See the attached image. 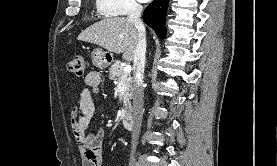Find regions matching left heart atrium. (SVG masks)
Here are the masks:
<instances>
[{
  "label": "left heart atrium",
  "mask_w": 277,
  "mask_h": 166,
  "mask_svg": "<svg viewBox=\"0 0 277 166\" xmlns=\"http://www.w3.org/2000/svg\"><path fill=\"white\" fill-rule=\"evenodd\" d=\"M141 2H147V1H149V0H140Z\"/></svg>",
  "instance_id": "left-heart-atrium-1"
}]
</instances>
